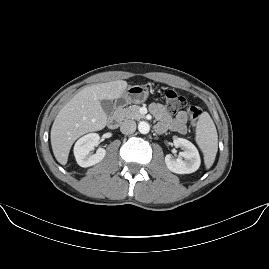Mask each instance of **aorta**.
<instances>
[{
  "label": "aorta",
  "mask_w": 269,
  "mask_h": 269,
  "mask_svg": "<svg viewBox=\"0 0 269 269\" xmlns=\"http://www.w3.org/2000/svg\"><path fill=\"white\" fill-rule=\"evenodd\" d=\"M149 129H150V126H149V123L146 122V121H140L138 123V130L141 132V133H148L149 132Z\"/></svg>",
  "instance_id": "aorta-1"
}]
</instances>
